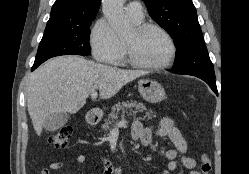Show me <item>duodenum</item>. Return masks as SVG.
<instances>
[{
	"mask_svg": "<svg viewBox=\"0 0 249 174\" xmlns=\"http://www.w3.org/2000/svg\"><path fill=\"white\" fill-rule=\"evenodd\" d=\"M87 122L90 125H96L98 123V116L95 112H89L87 115Z\"/></svg>",
	"mask_w": 249,
	"mask_h": 174,
	"instance_id": "1",
	"label": "duodenum"
}]
</instances>
